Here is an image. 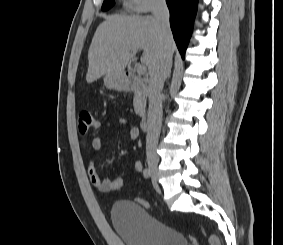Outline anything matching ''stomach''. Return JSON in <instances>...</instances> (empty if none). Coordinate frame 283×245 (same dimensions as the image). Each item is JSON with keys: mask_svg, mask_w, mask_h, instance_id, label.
<instances>
[{"mask_svg": "<svg viewBox=\"0 0 283 245\" xmlns=\"http://www.w3.org/2000/svg\"><path fill=\"white\" fill-rule=\"evenodd\" d=\"M104 84L109 89H122L125 86V79L121 73H108L104 76Z\"/></svg>", "mask_w": 283, "mask_h": 245, "instance_id": "stomach-1", "label": "stomach"}]
</instances>
